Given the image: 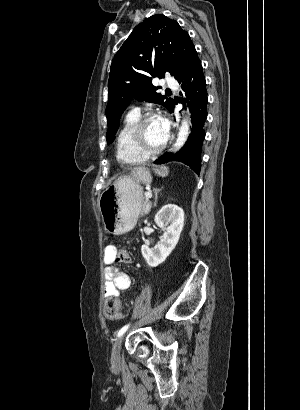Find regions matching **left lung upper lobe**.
I'll list each match as a JSON object with an SVG mask.
<instances>
[{"mask_svg": "<svg viewBox=\"0 0 300 410\" xmlns=\"http://www.w3.org/2000/svg\"><path fill=\"white\" fill-rule=\"evenodd\" d=\"M196 53L189 34L165 15H153L134 28L111 64L108 144L113 142L120 117L133 98L173 109L174 101L156 92L160 87L152 85V77L163 78L169 72L178 80Z\"/></svg>", "mask_w": 300, "mask_h": 410, "instance_id": "obj_1", "label": "left lung upper lobe"}]
</instances>
